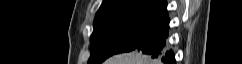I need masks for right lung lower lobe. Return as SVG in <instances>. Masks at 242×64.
Here are the masks:
<instances>
[{
  "mask_svg": "<svg viewBox=\"0 0 242 64\" xmlns=\"http://www.w3.org/2000/svg\"><path fill=\"white\" fill-rule=\"evenodd\" d=\"M165 16L164 23L141 43L137 49L141 50L144 54L150 55L152 58L160 59L164 64H176L173 51L168 49L169 18L167 14Z\"/></svg>",
  "mask_w": 242,
  "mask_h": 64,
  "instance_id": "right-lung-lower-lobe-1",
  "label": "right lung lower lobe"
}]
</instances>
